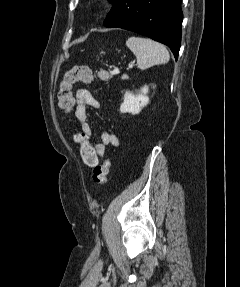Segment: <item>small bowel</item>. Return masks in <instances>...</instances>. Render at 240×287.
<instances>
[{"instance_id": "small-bowel-1", "label": "small bowel", "mask_w": 240, "mask_h": 287, "mask_svg": "<svg viewBox=\"0 0 240 287\" xmlns=\"http://www.w3.org/2000/svg\"><path fill=\"white\" fill-rule=\"evenodd\" d=\"M74 102H75V110H74L75 120L79 124L81 131L90 136L92 134V127L90 123L87 121L88 116L87 111L88 108H98L99 102L89 90L84 88L79 89L76 92ZM119 145H120L119 138L115 134L103 130L101 134V141L95 144V148L98 156L104 157L106 148L108 146L119 147Z\"/></svg>"}]
</instances>
